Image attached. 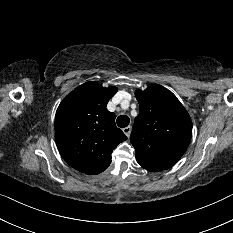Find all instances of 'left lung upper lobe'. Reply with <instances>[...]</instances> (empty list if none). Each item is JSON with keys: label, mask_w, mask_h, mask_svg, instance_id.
<instances>
[{"label": "left lung upper lobe", "mask_w": 233, "mask_h": 233, "mask_svg": "<svg viewBox=\"0 0 233 233\" xmlns=\"http://www.w3.org/2000/svg\"><path fill=\"white\" fill-rule=\"evenodd\" d=\"M140 113L130 141L136 160L159 169L171 168L186 151L191 135L190 116L176 96L160 85L137 90Z\"/></svg>", "instance_id": "left-lung-upper-lobe-1"}]
</instances>
